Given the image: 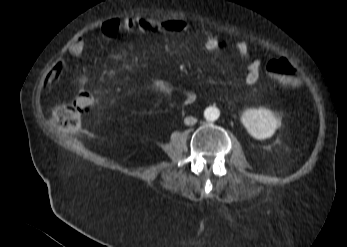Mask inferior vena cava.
<instances>
[{
    "label": "inferior vena cava",
    "instance_id": "1",
    "mask_svg": "<svg viewBox=\"0 0 347 247\" xmlns=\"http://www.w3.org/2000/svg\"><path fill=\"white\" fill-rule=\"evenodd\" d=\"M196 122H197V119L194 118V117H186V118L184 119V123H185L186 125H194Z\"/></svg>",
    "mask_w": 347,
    "mask_h": 247
}]
</instances>
